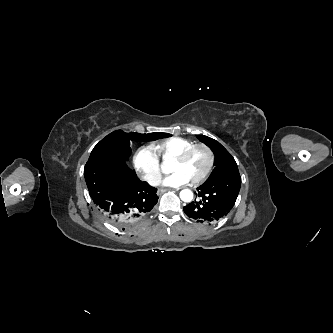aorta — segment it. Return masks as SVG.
<instances>
[{
	"label": "aorta",
	"instance_id": "1",
	"mask_svg": "<svg viewBox=\"0 0 333 333\" xmlns=\"http://www.w3.org/2000/svg\"><path fill=\"white\" fill-rule=\"evenodd\" d=\"M180 198L184 202H191L193 199V192L189 189H183L180 192Z\"/></svg>",
	"mask_w": 333,
	"mask_h": 333
}]
</instances>
